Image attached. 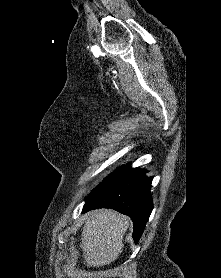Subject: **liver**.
Returning <instances> with one entry per match:
<instances>
[{"label": "liver", "instance_id": "obj_1", "mask_svg": "<svg viewBox=\"0 0 221 278\" xmlns=\"http://www.w3.org/2000/svg\"><path fill=\"white\" fill-rule=\"evenodd\" d=\"M130 219L114 210L99 209L86 214L80 248L89 267L115 261L122 253Z\"/></svg>", "mask_w": 221, "mask_h": 278}]
</instances>
